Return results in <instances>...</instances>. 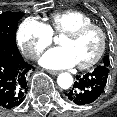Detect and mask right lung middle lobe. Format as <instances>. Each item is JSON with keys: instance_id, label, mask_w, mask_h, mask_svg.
I'll return each instance as SVG.
<instances>
[{"instance_id": "obj_1", "label": "right lung middle lobe", "mask_w": 117, "mask_h": 117, "mask_svg": "<svg viewBox=\"0 0 117 117\" xmlns=\"http://www.w3.org/2000/svg\"><path fill=\"white\" fill-rule=\"evenodd\" d=\"M23 15L24 13L21 12H4L0 15V43L10 42L16 44L17 23Z\"/></svg>"}]
</instances>
